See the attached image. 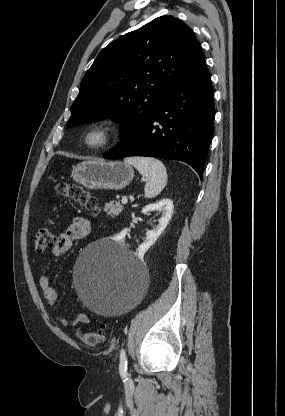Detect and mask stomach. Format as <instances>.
Returning a JSON list of instances; mask_svg holds the SVG:
<instances>
[{
	"label": "stomach",
	"instance_id": "0dacf381",
	"mask_svg": "<svg viewBox=\"0 0 285 416\" xmlns=\"http://www.w3.org/2000/svg\"><path fill=\"white\" fill-rule=\"evenodd\" d=\"M72 178L88 190H122L132 182L134 172L124 162L88 160L74 166Z\"/></svg>",
	"mask_w": 285,
	"mask_h": 416
}]
</instances>
